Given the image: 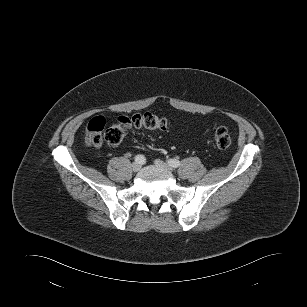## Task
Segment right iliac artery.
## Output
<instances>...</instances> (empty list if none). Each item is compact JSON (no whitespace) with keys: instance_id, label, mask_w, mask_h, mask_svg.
<instances>
[{"instance_id":"82829eb1","label":"right iliac artery","mask_w":307,"mask_h":307,"mask_svg":"<svg viewBox=\"0 0 307 307\" xmlns=\"http://www.w3.org/2000/svg\"><path fill=\"white\" fill-rule=\"evenodd\" d=\"M135 162H138L140 164H143L145 162V157L143 155H137L135 157Z\"/></svg>"}]
</instances>
